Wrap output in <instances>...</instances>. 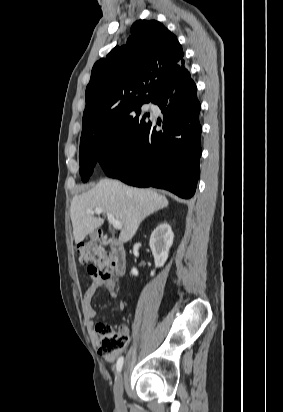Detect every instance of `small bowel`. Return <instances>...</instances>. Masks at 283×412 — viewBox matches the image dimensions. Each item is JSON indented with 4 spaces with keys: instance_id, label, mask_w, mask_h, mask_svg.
Here are the masks:
<instances>
[{
    "instance_id": "1",
    "label": "small bowel",
    "mask_w": 283,
    "mask_h": 412,
    "mask_svg": "<svg viewBox=\"0 0 283 412\" xmlns=\"http://www.w3.org/2000/svg\"><path fill=\"white\" fill-rule=\"evenodd\" d=\"M102 286H105L107 290L110 293V297L116 301L117 307L120 311L124 310L125 308V303L119 298L117 292H116V284L113 280L110 279H101L96 276L91 277V284L88 287V289L85 291L82 300H81V307H82V312H83V317L84 321L86 324V327L89 331V334L94 342L97 341V336L93 330L94 327V320L96 317V311L94 310L92 306V300L99 288ZM120 329H122L125 333H128L129 327L127 325H121ZM118 354H115L111 357H108V360L110 362H113Z\"/></svg>"
}]
</instances>
